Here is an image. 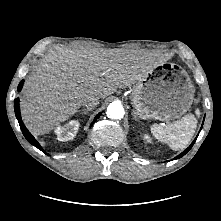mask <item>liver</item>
<instances>
[{
	"label": "liver",
	"mask_w": 221,
	"mask_h": 221,
	"mask_svg": "<svg viewBox=\"0 0 221 221\" xmlns=\"http://www.w3.org/2000/svg\"><path fill=\"white\" fill-rule=\"evenodd\" d=\"M164 61L142 50L59 48L47 54L27 79L21 100L24 123L35 135L73 116L87 94L105 98L130 87Z\"/></svg>",
	"instance_id": "obj_1"
}]
</instances>
